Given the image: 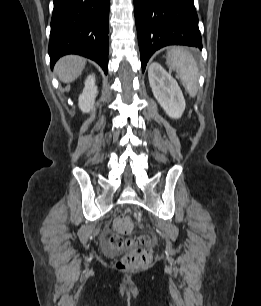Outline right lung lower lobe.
Segmentation results:
<instances>
[{
  "instance_id": "right-lung-lower-lobe-1",
  "label": "right lung lower lobe",
  "mask_w": 261,
  "mask_h": 306,
  "mask_svg": "<svg viewBox=\"0 0 261 306\" xmlns=\"http://www.w3.org/2000/svg\"><path fill=\"white\" fill-rule=\"evenodd\" d=\"M110 0H54L48 53L51 67L59 57L79 54L108 71Z\"/></svg>"
}]
</instances>
